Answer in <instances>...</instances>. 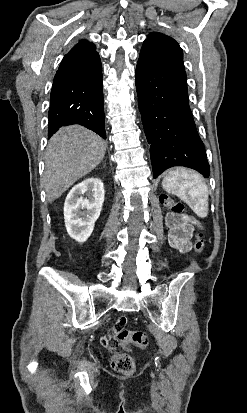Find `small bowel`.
Wrapping results in <instances>:
<instances>
[{
  "label": "small bowel",
  "mask_w": 247,
  "mask_h": 413,
  "mask_svg": "<svg viewBox=\"0 0 247 413\" xmlns=\"http://www.w3.org/2000/svg\"><path fill=\"white\" fill-rule=\"evenodd\" d=\"M167 225L169 227L170 245L181 253L190 251L192 248L190 242L191 224L189 222L181 223L173 214H170L167 218ZM127 322L128 317L126 315H120L118 317V322L113 324V329L115 331H123ZM113 329H108L106 334L102 335L101 347L103 349H109L111 355H118L120 349L116 346V342L113 340V337L115 336V331Z\"/></svg>",
  "instance_id": "small-bowel-1"
}]
</instances>
